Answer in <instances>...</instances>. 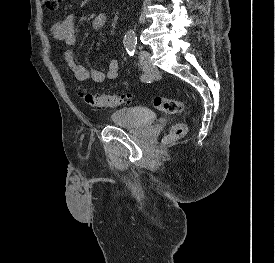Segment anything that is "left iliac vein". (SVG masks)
I'll list each match as a JSON object with an SVG mask.
<instances>
[{
    "label": "left iliac vein",
    "instance_id": "1",
    "mask_svg": "<svg viewBox=\"0 0 275 263\" xmlns=\"http://www.w3.org/2000/svg\"><path fill=\"white\" fill-rule=\"evenodd\" d=\"M139 62L142 70L146 73H153L156 70L155 66L151 61L150 53L147 50L142 49L140 51Z\"/></svg>",
    "mask_w": 275,
    "mask_h": 263
}]
</instances>
